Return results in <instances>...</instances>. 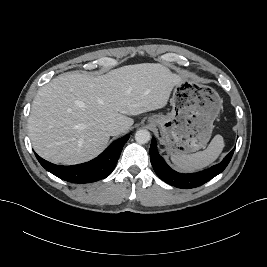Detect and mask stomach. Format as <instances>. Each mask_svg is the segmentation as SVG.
I'll return each instance as SVG.
<instances>
[{
    "mask_svg": "<svg viewBox=\"0 0 267 267\" xmlns=\"http://www.w3.org/2000/svg\"><path fill=\"white\" fill-rule=\"evenodd\" d=\"M171 105L169 114L148 118V123L159 127L166 151L187 154L204 148L222 107L217 91L193 78L181 77L173 89Z\"/></svg>",
    "mask_w": 267,
    "mask_h": 267,
    "instance_id": "0dacf381",
    "label": "stomach"
}]
</instances>
